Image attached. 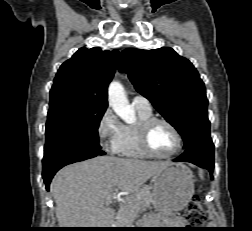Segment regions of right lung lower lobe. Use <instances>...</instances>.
I'll return each mask as SVG.
<instances>
[{"instance_id": "right-lung-lower-lobe-1", "label": "right lung lower lobe", "mask_w": 252, "mask_h": 231, "mask_svg": "<svg viewBox=\"0 0 252 231\" xmlns=\"http://www.w3.org/2000/svg\"><path fill=\"white\" fill-rule=\"evenodd\" d=\"M104 154L101 149L87 146H64L44 153L42 176L47 190L54 174L65 165Z\"/></svg>"}]
</instances>
